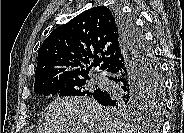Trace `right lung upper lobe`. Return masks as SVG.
<instances>
[{
  "label": "right lung upper lobe",
  "instance_id": "cb5924a9",
  "mask_svg": "<svg viewBox=\"0 0 184 133\" xmlns=\"http://www.w3.org/2000/svg\"><path fill=\"white\" fill-rule=\"evenodd\" d=\"M115 12L88 9L53 30L38 51L35 84L52 78L88 76L92 66L105 70L121 52Z\"/></svg>",
  "mask_w": 184,
  "mask_h": 133
}]
</instances>
